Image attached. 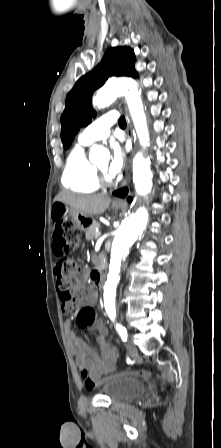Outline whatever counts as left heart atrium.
<instances>
[{"mask_svg":"<svg viewBox=\"0 0 221 448\" xmlns=\"http://www.w3.org/2000/svg\"><path fill=\"white\" fill-rule=\"evenodd\" d=\"M124 163H125L124 152L118 145L114 144L112 146L111 160L106 168L108 176L114 178L117 175H119L124 167Z\"/></svg>","mask_w":221,"mask_h":448,"instance_id":"left-heart-atrium-1","label":"left heart atrium"}]
</instances>
